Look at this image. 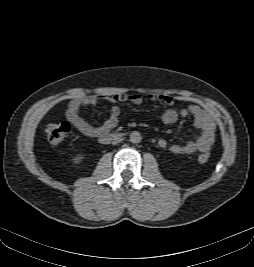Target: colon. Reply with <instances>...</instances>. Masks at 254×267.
Masks as SVG:
<instances>
[{"instance_id": "5ec220e1", "label": "colon", "mask_w": 254, "mask_h": 267, "mask_svg": "<svg viewBox=\"0 0 254 267\" xmlns=\"http://www.w3.org/2000/svg\"><path fill=\"white\" fill-rule=\"evenodd\" d=\"M71 132V126L68 122L50 123L46 126V136L49 142L60 144L64 142ZM210 159L208 152H203L198 156L200 163H206Z\"/></svg>"}]
</instances>
